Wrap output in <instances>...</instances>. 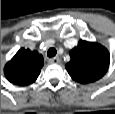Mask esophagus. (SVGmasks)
I'll return each mask as SVG.
<instances>
[{
	"label": "esophagus",
	"mask_w": 115,
	"mask_h": 114,
	"mask_svg": "<svg viewBox=\"0 0 115 114\" xmlns=\"http://www.w3.org/2000/svg\"><path fill=\"white\" fill-rule=\"evenodd\" d=\"M49 63L58 64V63H60V58L59 57L51 58V59H49Z\"/></svg>",
	"instance_id": "34e87169"
}]
</instances>
